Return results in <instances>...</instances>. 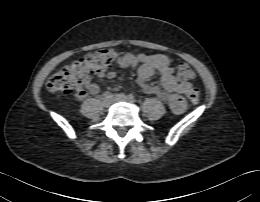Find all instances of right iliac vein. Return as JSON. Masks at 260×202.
<instances>
[{
    "mask_svg": "<svg viewBox=\"0 0 260 202\" xmlns=\"http://www.w3.org/2000/svg\"><path fill=\"white\" fill-rule=\"evenodd\" d=\"M112 102H113L112 98H109V97H104L102 99V104L104 107H109Z\"/></svg>",
    "mask_w": 260,
    "mask_h": 202,
    "instance_id": "right-iliac-vein-1",
    "label": "right iliac vein"
}]
</instances>
